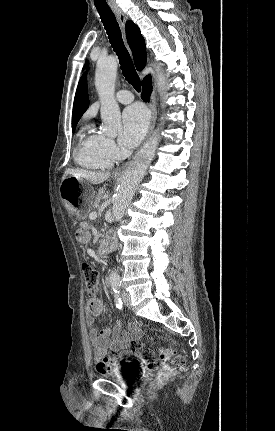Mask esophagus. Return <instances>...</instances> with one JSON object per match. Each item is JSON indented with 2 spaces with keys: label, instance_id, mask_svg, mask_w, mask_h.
I'll return each instance as SVG.
<instances>
[{
  "label": "esophagus",
  "instance_id": "1",
  "mask_svg": "<svg viewBox=\"0 0 275 431\" xmlns=\"http://www.w3.org/2000/svg\"><path fill=\"white\" fill-rule=\"evenodd\" d=\"M113 11H114V13H115V15H116V17L118 19V22H119L120 27L122 29L123 36L125 38V25H126V22H127L128 18H127V16L123 13V11L120 8H114ZM148 106H149V109H150V112H151V121H150V126H149V131H148L147 139L150 137V135H151V133H152V131L154 129V126H155V123H156V117H157L155 98H154L153 94H151L150 97H149ZM128 163H129V161H127L124 164H122V166H120L119 168H117L114 171L113 174L115 176L122 175L123 172H124V170L126 169Z\"/></svg>",
  "mask_w": 275,
  "mask_h": 431
}]
</instances>
